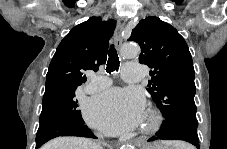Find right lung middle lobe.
Listing matches in <instances>:
<instances>
[{"label":"right lung middle lobe","instance_id":"obj_1","mask_svg":"<svg viewBox=\"0 0 227 149\" xmlns=\"http://www.w3.org/2000/svg\"><path fill=\"white\" fill-rule=\"evenodd\" d=\"M77 87L57 86L45 89L40 126L64 122H84L75 97Z\"/></svg>","mask_w":227,"mask_h":149}]
</instances>
